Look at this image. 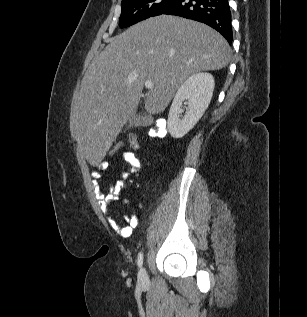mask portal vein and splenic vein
I'll use <instances>...</instances> for the list:
<instances>
[{"instance_id": "portal-vein-and-splenic-vein-1", "label": "portal vein and splenic vein", "mask_w": 307, "mask_h": 317, "mask_svg": "<svg viewBox=\"0 0 307 317\" xmlns=\"http://www.w3.org/2000/svg\"><path fill=\"white\" fill-rule=\"evenodd\" d=\"M145 87L147 89H152L154 87V85L150 80H147V81H145Z\"/></svg>"}]
</instances>
